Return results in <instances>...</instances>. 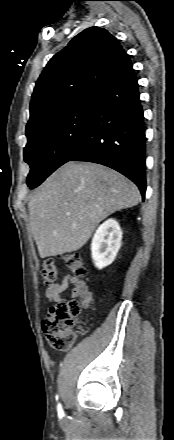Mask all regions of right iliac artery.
<instances>
[{"mask_svg": "<svg viewBox=\"0 0 174 440\" xmlns=\"http://www.w3.org/2000/svg\"><path fill=\"white\" fill-rule=\"evenodd\" d=\"M57 409H58V413H59V414H62V413H63V409H62V406H61L60 403L58 404Z\"/></svg>", "mask_w": 174, "mask_h": 440, "instance_id": "1", "label": "right iliac artery"}]
</instances>
